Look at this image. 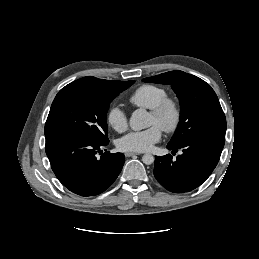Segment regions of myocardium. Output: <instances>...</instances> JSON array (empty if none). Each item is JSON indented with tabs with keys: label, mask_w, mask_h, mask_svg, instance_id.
Listing matches in <instances>:
<instances>
[{
	"label": "myocardium",
	"mask_w": 259,
	"mask_h": 259,
	"mask_svg": "<svg viewBox=\"0 0 259 259\" xmlns=\"http://www.w3.org/2000/svg\"><path fill=\"white\" fill-rule=\"evenodd\" d=\"M150 114L159 121V127L166 133L174 132L179 127L182 118L179 103L171 97H165L150 110Z\"/></svg>",
	"instance_id": "f54148a6"
}]
</instances>
